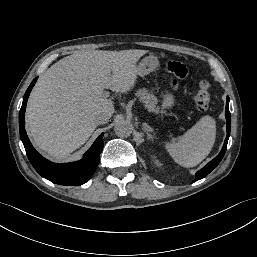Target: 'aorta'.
<instances>
[{"label":"aorta","instance_id":"aorta-1","mask_svg":"<svg viewBox=\"0 0 257 257\" xmlns=\"http://www.w3.org/2000/svg\"><path fill=\"white\" fill-rule=\"evenodd\" d=\"M132 124L128 120H120L116 123L114 131L119 137H128L132 133Z\"/></svg>","mask_w":257,"mask_h":257}]
</instances>
